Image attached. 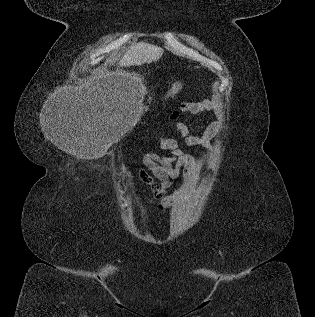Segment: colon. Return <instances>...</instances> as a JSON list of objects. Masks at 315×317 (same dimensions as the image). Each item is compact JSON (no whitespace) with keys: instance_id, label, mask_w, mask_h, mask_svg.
Here are the masks:
<instances>
[{"instance_id":"5ec220e1","label":"colon","mask_w":315,"mask_h":317,"mask_svg":"<svg viewBox=\"0 0 315 317\" xmlns=\"http://www.w3.org/2000/svg\"><path fill=\"white\" fill-rule=\"evenodd\" d=\"M180 89H181V83L174 87V89H173V91H172V94L178 93V91H179Z\"/></svg>"}]
</instances>
